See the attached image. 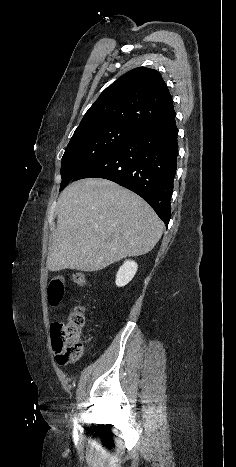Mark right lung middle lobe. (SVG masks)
Listing matches in <instances>:
<instances>
[{
    "label": "right lung middle lobe",
    "instance_id": "1",
    "mask_svg": "<svg viewBox=\"0 0 236 467\" xmlns=\"http://www.w3.org/2000/svg\"><path fill=\"white\" fill-rule=\"evenodd\" d=\"M136 132L122 125H106L74 133L62 157L60 190Z\"/></svg>",
    "mask_w": 236,
    "mask_h": 467
}]
</instances>
